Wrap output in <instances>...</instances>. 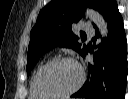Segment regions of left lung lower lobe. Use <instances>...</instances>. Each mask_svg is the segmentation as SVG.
Instances as JSON below:
<instances>
[{
  "label": "left lung lower lobe",
  "mask_w": 128,
  "mask_h": 99,
  "mask_svg": "<svg viewBox=\"0 0 128 99\" xmlns=\"http://www.w3.org/2000/svg\"><path fill=\"white\" fill-rule=\"evenodd\" d=\"M101 14L108 22V37L95 46L94 61L88 64V79L72 97L89 99H124L127 82V48L123 19L115 0H106ZM96 38L99 35L97 27ZM105 43V45H104ZM88 52H92L89 48Z\"/></svg>",
  "instance_id": "obj_1"
}]
</instances>
